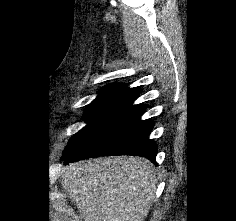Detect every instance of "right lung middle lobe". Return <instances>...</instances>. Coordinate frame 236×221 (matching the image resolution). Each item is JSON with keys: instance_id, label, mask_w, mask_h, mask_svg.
Listing matches in <instances>:
<instances>
[{"instance_id": "1", "label": "right lung middle lobe", "mask_w": 236, "mask_h": 221, "mask_svg": "<svg viewBox=\"0 0 236 221\" xmlns=\"http://www.w3.org/2000/svg\"><path fill=\"white\" fill-rule=\"evenodd\" d=\"M135 97L136 95L129 93L99 95L86 109L84 118L88 124L70 139L62 158L71 154L110 117L115 115Z\"/></svg>"}]
</instances>
